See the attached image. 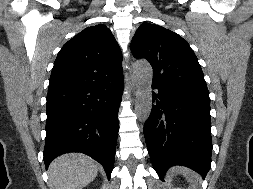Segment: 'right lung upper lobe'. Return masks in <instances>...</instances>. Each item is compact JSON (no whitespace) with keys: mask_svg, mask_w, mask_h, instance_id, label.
Instances as JSON below:
<instances>
[{"mask_svg":"<svg viewBox=\"0 0 253 189\" xmlns=\"http://www.w3.org/2000/svg\"><path fill=\"white\" fill-rule=\"evenodd\" d=\"M122 74L120 47L111 31L98 24L65 43L54 62L49 89L98 84Z\"/></svg>","mask_w":253,"mask_h":189,"instance_id":"right-lung-upper-lobe-1","label":"right lung upper lobe"}]
</instances>
